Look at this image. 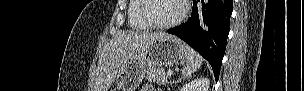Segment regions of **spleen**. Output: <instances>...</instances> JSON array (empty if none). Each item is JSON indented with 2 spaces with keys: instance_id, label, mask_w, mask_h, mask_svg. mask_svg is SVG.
<instances>
[{
  "instance_id": "obj_1",
  "label": "spleen",
  "mask_w": 304,
  "mask_h": 91,
  "mask_svg": "<svg viewBox=\"0 0 304 91\" xmlns=\"http://www.w3.org/2000/svg\"><path fill=\"white\" fill-rule=\"evenodd\" d=\"M202 57L193 49L189 48V58L182 71L183 76H190L196 72L202 64Z\"/></svg>"
}]
</instances>
